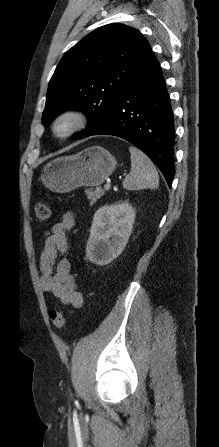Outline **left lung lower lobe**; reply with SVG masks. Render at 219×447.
<instances>
[{"instance_id": "0a47b994", "label": "left lung lower lobe", "mask_w": 219, "mask_h": 447, "mask_svg": "<svg viewBox=\"0 0 219 447\" xmlns=\"http://www.w3.org/2000/svg\"><path fill=\"white\" fill-rule=\"evenodd\" d=\"M100 134L121 137L138 147L170 186L174 119L160 64L150 47L106 116L87 136Z\"/></svg>"}]
</instances>
